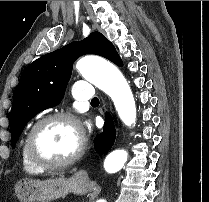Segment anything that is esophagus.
<instances>
[{
	"instance_id": "1",
	"label": "esophagus",
	"mask_w": 209,
	"mask_h": 202,
	"mask_svg": "<svg viewBox=\"0 0 209 202\" xmlns=\"http://www.w3.org/2000/svg\"><path fill=\"white\" fill-rule=\"evenodd\" d=\"M110 110L112 111L111 105H109ZM77 175L84 179H89L88 172L86 170H80Z\"/></svg>"
}]
</instances>
